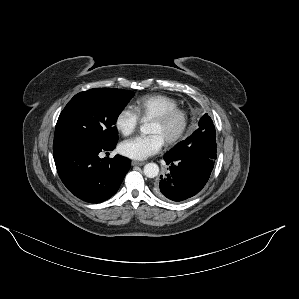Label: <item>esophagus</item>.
<instances>
[{
	"label": "esophagus",
	"instance_id": "esophagus-1",
	"mask_svg": "<svg viewBox=\"0 0 299 299\" xmlns=\"http://www.w3.org/2000/svg\"><path fill=\"white\" fill-rule=\"evenodd\" d=\"M146 162L144 161H132L131 164L132 166H142L144 165Z\"/></svg>",
	"mask_w": 299,
	"mask_h": 299
}]
</instances>
